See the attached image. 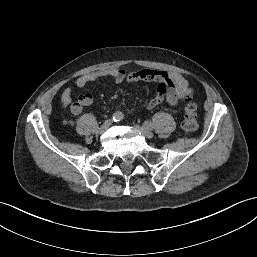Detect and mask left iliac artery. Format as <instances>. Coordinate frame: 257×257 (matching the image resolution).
Masks as SVG:
<instances>
[{"label":"left iliac artery","instance_id":"44dca946","mask_svg":"<svg viewBox=\"0 0 257 257\" xmlns=\"http://www.w3.org/2000/svg\"><path fill=\"white\" fill-rule=\"evenodd\" d=\"M143 128H144V129H152V128H153V125H152L150 122L146 121V122H144V124H143Z\"/></svg>","mask_w":257,"mask_h":257}]
</instances>
